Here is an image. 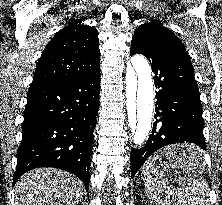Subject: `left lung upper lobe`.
I'll list each match as a JSON object with an SVG mask.
<instances>
[{
	"instance_id": "5c2ea615",
	"label": "left lung upper lobe",
	"mask_w": 222,
	"mask_h": 205,
	"mask_svg": "<svg viewBox=\"0 0 222 205\" xmlns=\"http://www.w3.org/2000/svg\"><path fill=\"white\" fill-rule=\"evenodd\" d=\"M133 39H140L151 45H169L185 49L178 37L156 20L141 24L135 30Z\"/></svg>"
}]
</instances>
